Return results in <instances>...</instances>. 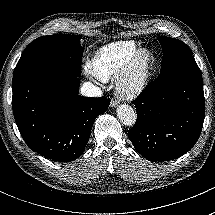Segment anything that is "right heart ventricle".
<instances>
[{
    "mask_svg": "<svg viewBox=\"0 0 215 215\" xmlns=\"http://www.w3.org/2000/svg\"><path fill=\"white\" fill-rule=\"evenodd\" d=\"M139 48L135 41H117L96 50L87 61L88 72L106 81L117 75L131 55Z\"/></svg>",
    "mask_w": 215,
    "mask_h": 215,
    "instance_id": "1",
    "label": "right heart ventricle"
}]
</instances>
